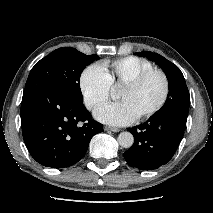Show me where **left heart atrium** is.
I'll list each match as a JSON object with an SVG mask.
<instances>
[{
  "label": "left heart atrium",
  "instance_id": "1",
  "mask_svg": "<svg viewBox=\"0 0 213 213\" xmlns=\"http://www.w3.org/2000/svg\"><path fill=\"white\" fill-rule=\"evenodd\" d=\"M94 116L97 120L115 126H123L133 122L137 116L127 101H119L98 108Z\"/></svg>",
  "mask_w": 213,
  "mask_h": 213
}]
</instances>
